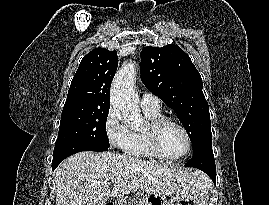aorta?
I'll list each match as a JSON object with an SVG mask.
<instances>
[{"mask_svg":"<svg viewBox=\"0 0 269 205\" xmlns=\"http://www.w3.org/2000/svg\"><path fill=\"white\" fill-rule=\"evenodd\" d=\"M135 81L136 65L129 62L117 72L110 92L114 113L132 128H138L142 123L139 101L134 90Z\"/></svg>","mask_w":269,"mask_h":205,"instance_id":"obj_1","label":"aorta"}]
</instances>
